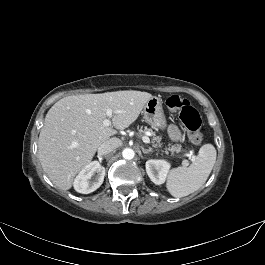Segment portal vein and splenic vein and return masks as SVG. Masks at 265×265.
I'll return each instance as SVG.
<instances>
[{
  "mask_svg": "<svg viewBox=\"0 0 265 265\" xmlns=\"http://www.w3.org/2000/svg\"><path fill=\"white\" fill-rule=\"evenodd\" d=\"M112 114H113L112 110L111 109H107V111H106L107 118L103 121V124L105 126H110V124H111L110 118H111ZM142 140L146 144L150 143V139L146 135L142 137ZM191 155L192 154H190L189 156H191ZM192 157L194 158V156H192ZM185 165H188L187 161H185Z\"/></svg>",
  "mask_w": 265,
  "mask_h": 265,
  "instance_id": "portal-vein-and-splenic-vein-1",
  "label": "portal vein and splenic vein"
}]
</instances>
